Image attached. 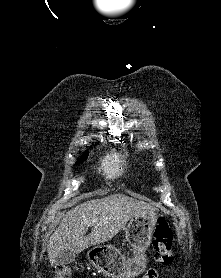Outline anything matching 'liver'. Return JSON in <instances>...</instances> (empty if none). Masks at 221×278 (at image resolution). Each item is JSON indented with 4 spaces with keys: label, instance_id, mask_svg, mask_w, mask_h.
Here are the masks:
<instances>
[{
    "label": "liver",
    "instance_id": "1",
    "mask_svg": "<svg viewBox=\"0 0 221 278\" xmlns=\"http://www.w3.org/2000/svg\"><path fill=\"white\" fill-rule=\"evenodd\" d=\"M148 203L124 194H113L81 203L67 212L48 242L49 262L61 252L81 253L86 248L111 240L137 214L154 213ZM88 227L92 231L88 236Z\"/></svg>",
    "mask_w": 221,
    "mask_h": 278
}]
</instances>
